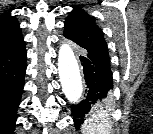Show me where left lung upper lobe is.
Instances as JSON below:
<instances>
[{
  "label": "left lung upper lobe",
  "instance_id": "left-lung-upper-lobe-1",
  "mask_svg": "<svg viewBox=\"0 0 153 134\" xmlns=\"http://www.w3.org/2000/svg\"><path fill=\"white\" fill-rule=\"evenodd\" d=\"M64 36L84 48L86 53L110 61L102 30L83 9L73 7L65 20Z\"/></svg>",
  "mask_w": 153,
  "mask_h": 134
}]
</instances>
